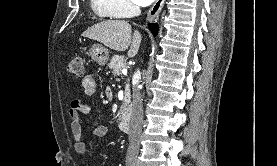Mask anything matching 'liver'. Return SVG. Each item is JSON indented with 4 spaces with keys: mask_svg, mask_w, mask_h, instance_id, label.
<instances>
[{
    "mask_svg": "<svg viewBox=\"0 0 277 166\" xmlns=\"http://www.w3.org/2000/svg\"><path fill=\"white\" fill-rule=\"evenodd\" d=\"M83 37L96 40L115 51L128 50V57H134L139 50L142 36L124 20H106L97 23L82 33Z\"/></svg>",
    "mask_w": 277,
    "mask_h": 166,
    "instance_id": "obj_1",
    "label": "liver"
}]
</instances>
